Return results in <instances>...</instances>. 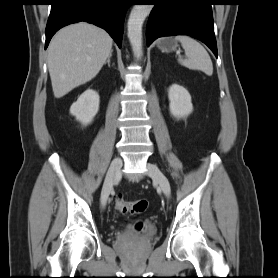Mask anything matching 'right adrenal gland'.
Wrapping results in <instances>:
<instances>
[{
    "mask_svg": "<svg viewBox=\"0 0 278 278\" xmlns=\"http://www.w3.org/2000/svg\"><path fill=\"white\" fill-rule=\"evenodd\" d=\"M111 57H112V54L109 55V57L107 58V61L105 62V64H108V67H110Z\"/></svg>",
    "mask_w": 278,
    "mask_h": 278,
    "instance_id": "right-adrenal-gland-1",
    "label": "right adrenal gland"
}]
</instances>
